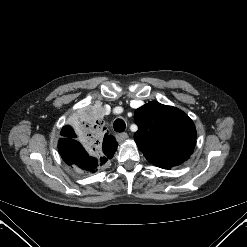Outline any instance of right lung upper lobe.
Masks as SVG:
<instances>
[{
    "label": "right lung upper lobe",
    "instance_id": "cb5924a9",
    "mask_svg": "<svg viewBox=\"0 0 247 247\" xmlns=\"http://www.w3.org/2000/svg\"><path fill=\"white\" fill-rule=\"evenodd\" d=\"M85 130V145L84 151L91 157L95 163L100 166L105 164L108 159H111L117 149V142L115 138L109 136L107 133L103 136L101 123L98 120H93L84 125ZM101 136L98 138V135ZM61 135L67 138H76L73 129L69 126L64 127Z\"/></svg>",
    "mask_w": 247,
    "mask_h": 247
}]
</instances>
